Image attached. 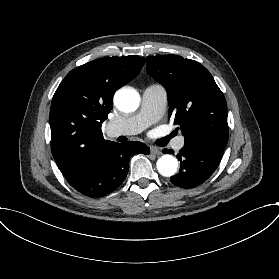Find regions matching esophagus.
<instances>
[{
  "label": "esophagus",
  "mask_w": 279,
  "mask_h": 279,
  "mask_svg": "<svg viewBox=\"0 0 279 279\" xmlns=\"http://www.w3.org/2000/svg\"><path fill=\"white\" fill-rule=\"evenodd\" d=\"M150 153L153 154V155H159L160 150L157 147L151 146L150 147Z\"/></svg>",
  "instance_id": "1"
}]
</instances>
